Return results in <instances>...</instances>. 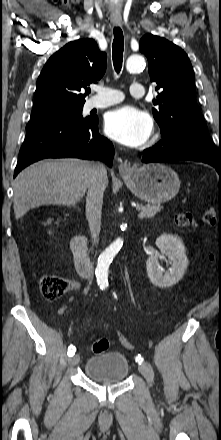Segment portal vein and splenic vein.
<instances>
[{
  "label": "portal vein and splenic vein",
  "instance_id": "18ae733b",
  "mask_svg": "<svg viewBox=\"0 0 221 440\" xmlns=\"http://www.w3.org/2000/svg\"><path fill=\"white\" fill-rule=\"evenodd\" d=\"M144 216H145V214H144L143 212H140V213L138 214V217H139L140 219L144 218Z\"/></svg>",
  "mask_w": 221,
  "mask_h": 440
}]
</instances>
